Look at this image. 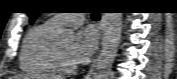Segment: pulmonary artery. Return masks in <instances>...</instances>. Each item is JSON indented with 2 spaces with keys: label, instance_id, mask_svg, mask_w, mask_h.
<instances>
[{
  "label": "pulmonary artery",
  "instance_id": "obj_1",
  "mask_svg": "<svg viewBox=\"0 0 177 79\" xmlns=\"http://www.w3.org/2000/svg\"><path fill=\"white\" fill-rule=\"evenodd\" d=\"M84 20V14H56L52 16L47 22L58 28L63 24L82 23Z\"/></svg>",
  "mask_w": 177,
  "mask_h": 79
}]
</instances>
